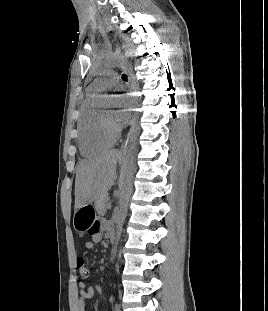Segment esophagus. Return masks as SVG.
<instances>
[{
	"label": "esophagus",
	"mask_w": 268,
	"mask_h": 311,
	"mask_svg": "<svg viewBox=\"0 0 268 311\" xmlns=\"http://www.w3.org/2000/svg\"><path fill=\"white\" fill-rule=\"evenodd\" d=\"M128 82H131V76L130 75H128ZM131 136H132V125L130 127V130H129L128 134H127V137H126L125 141L123 142V144L121 145V148L119 150V154L121 156L126 154V151H127L128 144H129Z\"/></svg>",
	"instance_id": "esophagus-1"
}]
</instances>
